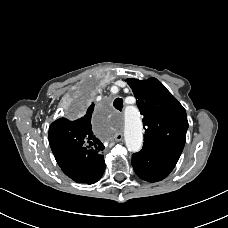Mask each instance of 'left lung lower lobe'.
I'll return each mask as SVG.
<instances>
[{
    "mask_svg": "<svg viewBox=\"0 0 228 228\" xmlns=\"http://www.w3.org/2000/svg\"><path fill=\"white\" fill-rule=\"evenodd\" d=\"M180 155L178 152L143 146L140 152L132 155V166L141 179L157 182L170 174Z\"/></svg>",
    "mask_w": 228,
    "mask_h": 228,
    "instance_id": "obj_1",
    "label": "left lung lower lobe"
}]
</instances>
